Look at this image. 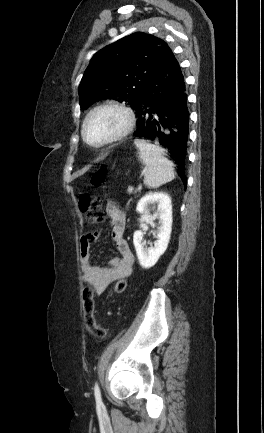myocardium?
I'll list each match as a JSON object with an SVG mask.
<instances>
[{
	"label": "myocardium",
	"instance_id": "myocardium-1",
	"mask_svg": "<svg viewBox=\"0 0 264 433\" xmlns=\"http://www.w3.org/2000/svg\"><path fill=\"white\" fill-rule=\"evenodd\" d=\"M106 109H114L119 111L123 116H124V123L123 126L121 127V129L119 131H117L115 134L99 141V142H91L89 141V139L87 138L86 135V126L88 121L98 112L102 111V110H106ZM135 114L133 112V110L128 107L127 105L118 102V101H106L103 102L97 106H95L94 108H92L88 114L85 116L83 122H82V126H81V136L82 139L84 140L85 143H87L90 146L93 147H104V146H108L111 144H114L120 140H122L123 138H125L133 129L134 125H135Z\"/></svg>",
	"mask_w": 264,
	"mask_h": 433
}]
</instances>
